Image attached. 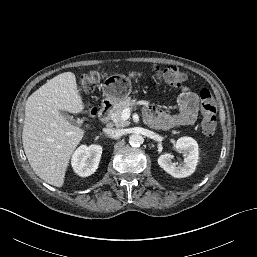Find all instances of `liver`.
Returning <instances> with one entry per match:
<instances>
[{"mask_svg": "<svg viewBox=\"0 0 257 257\" xmlns=\"http://www.w3.org/2000/svg\"><path fill=\"white\" fill-rule=\"evenodd\" d=\"M83 110L84 102L72 72L55 76L26 101L23 148L35 174L50 185L63 186L72 153L85 134L61 111L78 114Z\"/></svg>", "mask_w": 257, "mask_h": 257, "instance_id": "liver-1", "label": "liver"}]
</instances>
